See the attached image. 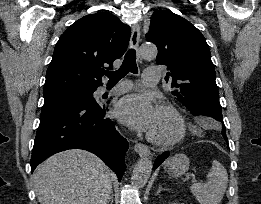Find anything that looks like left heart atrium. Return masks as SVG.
<instances>
[{
    "instance_id": "left-heart-atrium-1",
    "label": "left heart atrium",
    "mask_w": 261,
    "mask_h": 204,
    "mask_svg": "<svg viewBox=\"0 0 261 204\" xmlns=\"http://www.w3.org/2000/svg\"><path fill=\"white\" fill-rule=\"evenodd\" d=\"M157 108L150 96L145 94H129L118 101L115 106L116 117L129 127L148 131L153 126Z\"/></svg>"
}]
</instances>
